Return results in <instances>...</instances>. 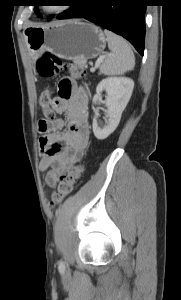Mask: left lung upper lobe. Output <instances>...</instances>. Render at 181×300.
Instances as JSON below:
<instances>
[{
    "instance_id": "obj_1",
    "label": "left lung upper lobe",
    "mask_w": 181,
    "mask_h": 300,
    "mask_svg": "<svg viewBox=\"0 0 181 300\" xmlns=\"http://www.w3.org/2000/svg\"><path fill=\"white\" fill-rule=\"evenodd\" d=\"M37 6H35V8H36ZM35 12L37 13V15L39 16V17H41V14L35 9Z\"/></svg>"
}]
</instances>
